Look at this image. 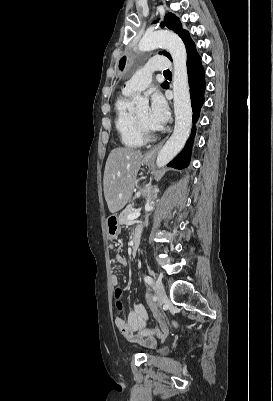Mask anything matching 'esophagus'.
Here are the masks:
<instances>
[{
    "instance_id": "esophagus-1",
    "label": "esophagus",
    "mask_w": 273,
    "mask_h": 401,
    "mask_svg": "<svg viewBox=\"0 0 273 401\" xmlns=\"http://www.w3.org/2000/svg\"><path fill=\"white\" fill-rule=\"evenodd\" d=\"M165 141H166V138H164V140L160 141V143H158V145H155L153 148H150V150H148L147 153H145V158L153 160Z\"/></svg>"
}]
</instances>
